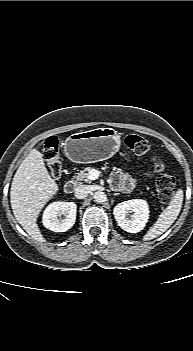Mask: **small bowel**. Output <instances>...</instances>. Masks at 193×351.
I'll return each mask as SVG.
<instances>
[{
  "label": "small bowel",
  "instance_id": "small-bowel-1",
  "mask_svg": "<svg viewBox=\"0 0 193 351\" xmlns=\"http://www.w3.org/2000/svg\"><path fill=\"white\" fill-rule=\"evenodd\" d=\"M111 183L114 187L126 191L131 190L135 185V181L132 178H130L127 174L121 171L112 172Z\"/></svg>",
  "mask_w": 193,
  "mask_h": 351
}]
</instances>
